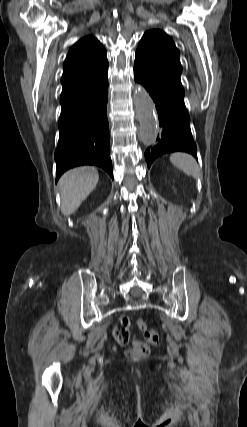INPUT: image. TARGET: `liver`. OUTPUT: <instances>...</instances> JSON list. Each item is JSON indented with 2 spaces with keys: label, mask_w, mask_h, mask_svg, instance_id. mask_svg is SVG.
<instances>
[{
  "label": "liver",
  "mask_w": 247,
  "mask_h": 427,
  "mask_svg": "<svg viewBox=\"0 0 247 427\" xmlns=\"http://www.w3.org/2000/svg\"><path fill=\"white\" fill-rule=\"evenodd\" d=\"M98 180V171L91 166L74 168L64 173L59 180L62 214H73L94 190Z\"/></svg>",
  "instance_id": "obj_1"
}]
</instances>
